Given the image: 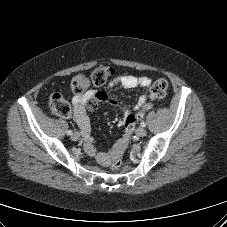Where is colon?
Listing matches in <instances>:
<instances>
[{
    "mask_svg": "<svg viewBox=\"0 0 227 227\" xmlns=\"http://www.w3.org/2000/svg\"><path fill=\"white\" fill-rule=\"evenodd\" d=\"M114 74V69L110 66L101 65L96 68L89 77L78 74L71 79V89L75 94H82L88 90L91 86H102L107 80ZM168 83L165 79H157L150 90V100L145 103L140 110L129 116L126 120V126H131L135 122L144 117L145 112L152 107L153 101L163 98L167 92ZM50 110L61 117H69L71 115L72 109L69 102L60 94L56 93L50 97L49 100ZM123 164L122 153L117 154L112 162L111 169L119 170Z\"/></svg>",
    "mask_w": 227,
    "mask_h": 227,
    "instance_id": "obj_1",
    "label": "colon"
}]
</instances>
